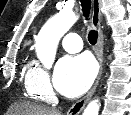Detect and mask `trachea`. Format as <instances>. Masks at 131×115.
Masks as SVG:
<instances>
[{
  "instance_id": "obj_1",
  "label": "trachea",
  "mask_w": 131,
  "mask_h": 115,
  "mask_svg": "<svg viewBox=\"0 0 131 115\" xmlns=\"http://www.w3.org/2000/svg\"><path fill=\"white\" fill-rule=\"evenodd\" d=\"M81 6L83 15L88 20L90 8H91V0H81ZM98 39V32L96 30H91L88 34V40L92 45H95Z\"/></svg>"
}]
</instances>
